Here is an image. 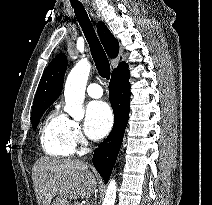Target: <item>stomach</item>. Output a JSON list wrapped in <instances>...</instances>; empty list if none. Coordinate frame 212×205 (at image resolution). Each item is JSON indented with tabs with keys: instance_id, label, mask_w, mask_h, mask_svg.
I'll return each instance as SVG.
<instances>
[{
	"instance_id": "stomach-1",
	"label": "stomach",
	"mask_w": 212,
	"mask_h": 205,
	"mask_svg": "<svg viewBox=\"0 0 212 205\" xmlns=\"http://www.w3.org/2000/svg\"><path fill=\"white\" fill-rule=\"evenodd\" d=\"M51 205H70L69 201L65 198L57 197Z\"/></svg>"
}]
</instances>
